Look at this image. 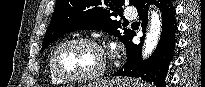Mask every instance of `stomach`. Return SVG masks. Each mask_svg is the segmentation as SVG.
Listing matches in <instances>:
<instances>
[{
	"label": "stomach",
	"mask_w": 205,
	"mask_h": 87,
	"mask_svg": "<svg viewBox=\"0 0 205 87\" xmlns=\"http://www.w3.org/2000/svg\"><path fill=\"white\" fill-rule=\"evenodd\" d=\"M83 87H143V85L131 79H114L108 82L91 83Z\"/></svg>",
	"instance_id": "1"
}]
</instances>
